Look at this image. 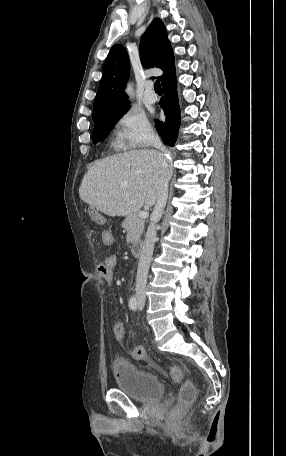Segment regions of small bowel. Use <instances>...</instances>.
<instances>
[{
    "label": "small bowel",
    "mask_w": 286,
    "mask_h": 456,
    "mask_svg": "<svg viewBox=\"0 0 286 456\" xmlns=\"http://www.w3.org/2000/svg\"><path fill=\"white\" fill-rule=\"evenodd\" d=\"M102 240L105 244H111L113 242V237L111 232L103 231ZM118 264V257L116 255H111L106 257L98 265V273L100 276L108 283L109 286L112 285L113 281V272ZM113 336L117 341H120L124 336V325L120 320H117L112 328ZM142 347V346H140Z\"/></svg>",
    "instance_id": "small-bowel-1"
}]
</instances>
